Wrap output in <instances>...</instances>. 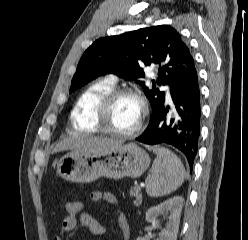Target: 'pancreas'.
Returning <instances> with one entry per match:
<instances>
[{"label":"pancreas","instance_id":"1","mask_svg":"<svg viewBox=\"0 0 248 240\" xmlns=\"http://www.w3.org/2000/svg\"><path fill=\"white\" fill-rule=\"evenodd\" d=\"M140 187L135 186L133 190H131V195L135 197L134 204L138 206L142 203V194L140 193Z\"/></svg>","mask_w":248,"mask_h":240}]
</instances>
